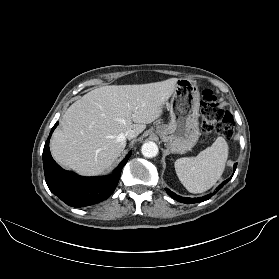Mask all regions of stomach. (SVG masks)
Masks as SVG:
<instances>
[{
    "label": "stomach",
    "instance_id": "0dacf381",
    "mask_svg": "<svg viewBox=\"0 0 279 279\" xmlns=\"http://www.w3.org/2000/svg\"><path fill=\"white\" fill-rule=\"evenodd\" d=\"M170 122L156 127V133L173 153L184 154L191 150L199 139L200 92L192 80H177L170 102Z\"/></svg>",
    "mask_w": 279,
    "mask_h": 279
}]
</instances>
